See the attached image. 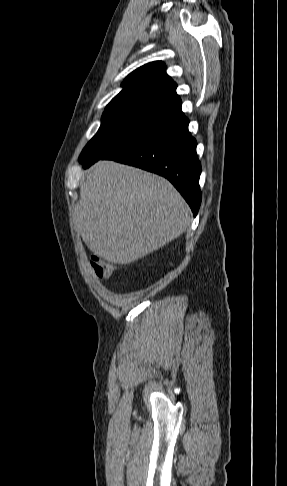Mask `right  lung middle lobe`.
I'll return each instance as SVG.
<instances>
[{
	"mask_svg": "<svg viewBox=\"0 0 287 486\" xmlns=\"http://www.w3.org/2000/svg\"><path fill=\"white\" fill-rule=\"evenodd\" d=\"M172 112L152 106H107L96 135L83 149L79 162L86 167L138 138Z\"/></svg>",
	"mask_w": 287,
	"mask_h": 486,
	"instance_id": "obj_1",
	"label": "right lung middle lobe"
}]
</instances>
